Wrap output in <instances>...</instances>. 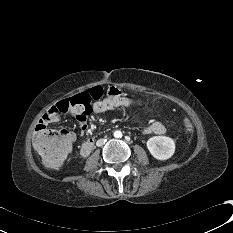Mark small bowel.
<instances>
[{
    "instance_id": "1",
    "label": "small bowel",
    "mask_w": 233,
    "mask_h": 233,
    "mask_svg": "<svg viewBox=\"0 0 233 233\" xmlns=\"http://www.w3.org/2000/svg\"><path fill=\"white\" fill-rule=\"evenodd\" d=\"M105 98L94 102L88 111L76 110L73 108H62L61 102L52 106L40 118L37 127L47 128L50 123L58 120L62 113L68 112L75 116L79 123V133L84 134L87 129V119L89 116L102 114L108 111L121 109L125 112H133L136 117L142 118L147 115L148 106L145 101L132 96H127L122 92L120 87L114 86L107 90ZM166 132V127L162 122L152 121L143 127L142 133L145 135L156 134L161 135ZM96 147L94 138H87L78 146V151L83 156H88Z\"/></svg>"
}]
</instances>
